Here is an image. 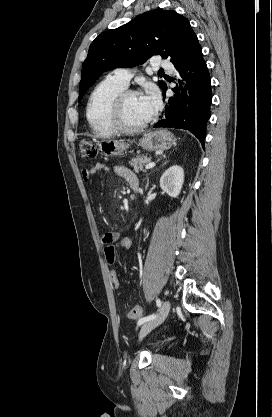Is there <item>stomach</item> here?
<instances>
[{
	"instance_id": "obj_1",
	"label": "stomach",
	"mask_w": 272,
	"mask_h": 417,
	"mask_svg": "<svg viewBox=\"0 0 272 417\" xmlns=\"http://www.w3.org/2000/svg\"><path fill=\"white\" fill-rule=\"evenodd\" d=\"M175 142L176 139L171 132L167 130H157L144 135L140 140L139 145L148 151H158L168 150ZM128 146V144L116 140H102L99 143L100 150L106 156H121Z\"/></svg>"
}]
</instances>
